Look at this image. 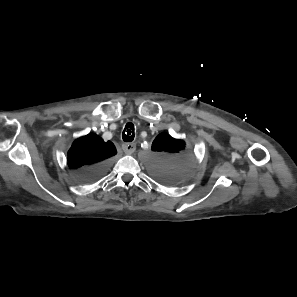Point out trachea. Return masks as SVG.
<instances>
[{
	"label": "trachea",
	"instance_id": "1",
	"mask_svg": "<svg viewBox=\"0 0 297 297\" xmlns=\"http://www.w3.org/2000/svg\"><path fill=\"white\" fill-rule=\"evenodd\" d=\"M134 136V125L132 123H127L122 133L123 141L132 142L134 140Z\"/></svg>",
	"mask_w": 297,
	"mask_h": 297
}]
</instances>
